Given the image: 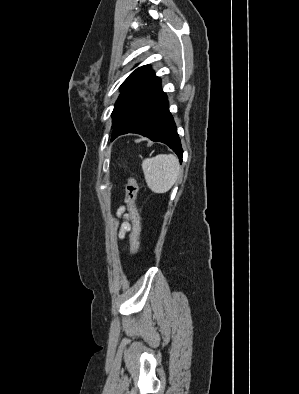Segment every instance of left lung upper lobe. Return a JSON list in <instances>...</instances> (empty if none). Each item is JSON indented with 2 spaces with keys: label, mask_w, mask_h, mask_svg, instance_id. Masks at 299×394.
Returning a JSON list of instances; mask_svg holds the SVG:
<instances>
[{
  "label": "left lung upper lobe",
  "mask_w": 299,
  "mask_h": 394,
  "mask_svg": "<svg viewBox=\"0 0 299 394\" xmlns=\"http://www.w3.org/2000/svg\"><path fill=\"white\" fill-rule=\"evenodd\" d=\"M157 79L158 77L149 65L137 68L127 77L121 85V94L111 115L112 128L121 120L135 100Z\"/></svg>",
  "instance_id": "obj_1"
}]
</instances>
